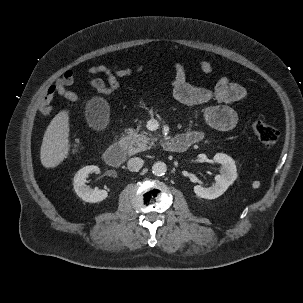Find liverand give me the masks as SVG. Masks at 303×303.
<instances>
[{
  "label": "liver",
  "instance_id": "liver-1",
  "mask_svg": "<svg viewBox=\"0 0 303 303\" xmlns=\"http://www.w3.org/2000/svg\"><path fill=\"white\" fill-rule=\"evenodd\" d=\"M69 132V111L62 110L51 120L43 137L40 159L45 168H55L68 157Z\"/></svg>",
  "mask_w": 303,
  "mask_h": 303
}]
</instances>
